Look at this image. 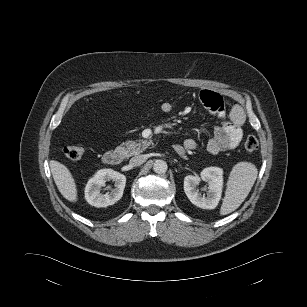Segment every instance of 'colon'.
<instances>
[{
  "mask_svg": "<svg viewBox=\"0 0 307 307\" xmlns=\"http://www.w3.org/2000/svg\"><path fill=\"white\" fill-rule=\"evenodd\" d=\"M244 147L248 152H254L259 147L258 139L250 135L244 142ZM64 155L71 161L79 160L83 155V148L79 146H66L63 150Z\"/></svg>",
  "mask_w": 307,
  "mask_h": 307,
  "instance_id": "colon-1",
  "label": "colon"
}]
</instances>
